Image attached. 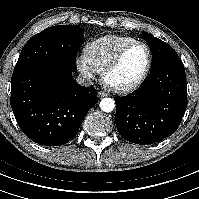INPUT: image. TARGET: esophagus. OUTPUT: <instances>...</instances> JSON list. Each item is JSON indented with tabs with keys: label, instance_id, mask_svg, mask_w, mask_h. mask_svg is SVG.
I'll return each instance as SVG.
<instances>
[{
	"label": "esophagus",
	"instance_id": "esophagus-1",
	"mask_svg": "<svg viewBox=\"0 0 199 199\" xmlns=\"http://www.w3.org/2000/svg\"><path fill=\"white\" fill-rule=\"evenodd\" d=\"M98 97L100 98V99H102V98H104V97H106L107 96V93H105L104 91H98Z\"/></svg>",
	"mask_w": 199,
	"mask_h": 199
}]
</instances>
